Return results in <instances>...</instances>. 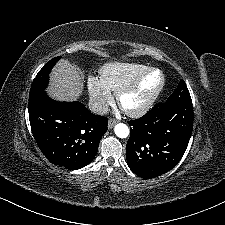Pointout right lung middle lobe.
Masks as SVG:
<instances>
[{"instance_id": "obj_1", "label": "right lung middle lobe", "mask_w": 225, "mask_h": 225, "mask_svg": "<svg viewBox=\"0 0 225 225\" xmlns=\"http://www.w3.org/2000/svg\"><path fill=\"white\" fill-rule=\"evenodd\" d=\"M61 58V56L51 59L49 62H47L43 68L38 72L36 77L33 80L31 89H30V95L38 92L43 91L47 84L49 79V73L51 72L52 67L56 64V62Z\"/></svg>"}]
</instances>
